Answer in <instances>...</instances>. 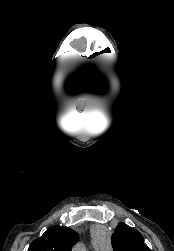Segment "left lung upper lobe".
I'll return each instance as SVG.
<instances>
[{
  "mask_svg": "<svg viewBox=\"0 0 174 251\" xmlns=\"http://www.w3.org/2000/svg\"><path fill=\"white\" fill-rule=\"evenodd\" d=\"M114 251H150L142 235L134 228L119 223L111 237Z\"/></svg>",
  "mask_w": 174,
  "mask_h": 251,
  "instance_id": "obj_1",
  "label": "left lung upper lobe"
}]
</instances>
